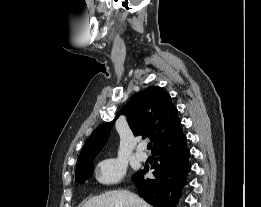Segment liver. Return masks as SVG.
Instances as JSON below:
<instances>
[{"label":"liver","mask_w":261,"mask_h":207,"mask_svg":"<svg viewBox=\"0 0 261 207\" xmlns=\"http://www.w3.org/2000/svg\"><path fill=\"white\" fill-rule=\"evenodd\" d=\"M83 207H151L139 196L124 190L109 191L89 199Z\"/></svg>","instance_id":"1"}]
</instances>
